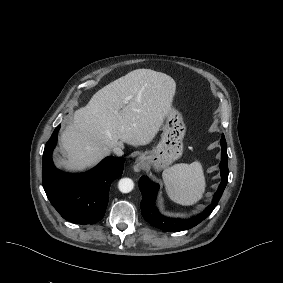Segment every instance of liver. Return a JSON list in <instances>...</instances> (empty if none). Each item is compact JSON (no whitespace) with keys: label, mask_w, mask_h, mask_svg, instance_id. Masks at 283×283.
I'll return each instance as SVG.
<instances>
[{"label":"liver","mask_w":283,"mask_h":283,"mask_svg":"<svg viewBox=\"0 0 283 283\" xmlns=\"http://www.w3.org/2000/svg\"><path fill=\"white\" fill-rule=\"evenodd\" d=\"M175 90L172 77L151 69H136L109 83L75 111L73 123L61 135L67 159L58 160V165L83 170L114 147L150 143L171 111Z\"/></svg>","instance_id":"obj_1"}]
</instances>
